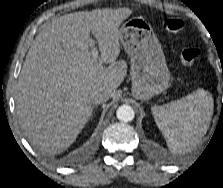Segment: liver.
<instances>
[{"mask_svg":"<svg viewBox=\"0 0 223 188\" xmlns=\"http://www.w3.org/2000/svg\"><path fill=\"white\" fill-rule=\"evenodd\" d=\"M129 8L79 11L52 20L35 37L16 87L21 128L38 149L66 150L84 128L91 92L104 89L113 97L126 76L118 62L119 26ZM98 42L100 60L92 57L90 33Z\"/></svg>","mask_w":223,"mask_h":188,"instance_id":"obj_1","label":"liver"}]
</instances>
